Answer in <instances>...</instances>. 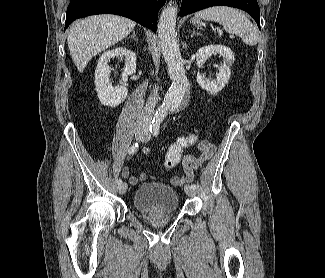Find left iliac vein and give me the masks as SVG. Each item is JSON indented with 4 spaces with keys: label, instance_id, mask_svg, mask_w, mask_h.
<instances>
[{
    "label": "left iliac vein",
    "instance_id": "obj_1",
    "mask_svg": "<svg viewBox=\"0 0 325 278\" xmlns=\"http://www.w3.org/2000/svg\"><path fill=\"white\" fill-rule=\"evenodd\" d=\"M150 139V132L146 130L144 135L141 137L142 142H147ZM184 191L188 196H195L196 195V190L193 189L190 185H185L184 186Z\"/></svg>",
    "mask_w": 325,
    "mask_h": 278
}]
</instances>
